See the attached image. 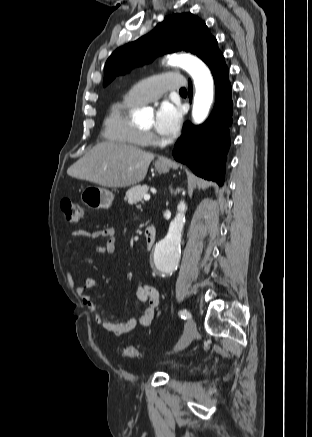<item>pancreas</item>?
<instances>
[{
	"mask_svg": "<svg viewBox=\"0 0 312 437\" xmlns=\"http://www.w3.org/2000/svg\"><path fill=\"white\" fill-rule=\"evenodd\" d=\"M148 193L147 185H137L132 187L126 192L125 201H127L130 205L137 204L142 201L144 195Z\"/></svg>",
	"mask_w": 312,
	"mask_h": 437,
	"instance_id": "obj_1",
	"label": "pancreas"
}]
</instances>
